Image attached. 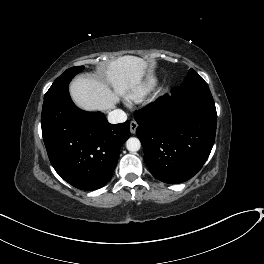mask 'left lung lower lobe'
<instances>
[{"label": "left lung lower lobe", "instance_id": "left-lung-lower-lobe-1", "mask_svg": "<svg viewBox=\"0 0 264 264\" xmlns=\"http://www.w3.org/2000/svg\"><path fill=\"white\" fill-rule=\"evenodd\" d=\"M144 161L158 180L177 184L204 165L215 140L217 113L207 83L175 87L135 113Z\"/></svg>", "mask_w": 264, "mask_h": 264}]
</instances>
